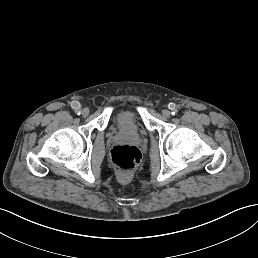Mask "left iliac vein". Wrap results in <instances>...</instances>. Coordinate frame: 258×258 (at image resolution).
I'll return each mask as SVG.
<instances>
[{"label":"left iliac vein","instance_id":"left-iliac-vein-1","mask_svg":"<svg viewBox=\"0 0 258 258\" xmlns=\"http://www.w3.org/2000/svg\"><path fill=\"white\" fill-rule=\"evenodd\" d=\"M163 116H164L165 118H168V117L171 116V113L168 112L167 110H164V111H163Z\"/></svg>","mask_w":258,"mask_h":258}]
</instances>
